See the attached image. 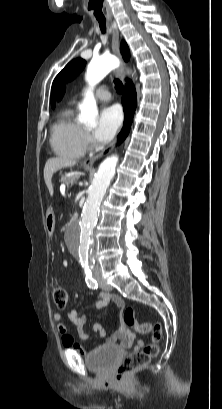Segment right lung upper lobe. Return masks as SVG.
<instances>
[{
  "label": "right lung upper lobe",
  "mask_w": 222,
  "mask_h": 409,
  "mask_svg": "<svg viewBox=\"0 0 222 409\" xmlns=\"http://www.w3.org/2000/svg\"><path fill=\"white\" fill-rule=\"evenodd\" d=\"M121 47H122L121 49L122 56L125 61H128L129 60V50H128V46L125 43V41H122ZM64 92H65V88L63 87L58 94V99L62 98V96L64 95Z\"/></svg>",
  "instance_id": "cb5924a9"
}]
</instances>
